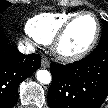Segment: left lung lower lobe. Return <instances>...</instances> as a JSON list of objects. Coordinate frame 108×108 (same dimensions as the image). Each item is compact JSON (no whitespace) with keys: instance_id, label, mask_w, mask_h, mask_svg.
Instances as JSON below:
<instances>
[{"instance_id":"obj_1","label":"left lung lower lobe","mask_w":108,"mask_h":108,"mask_svg":"<svg viewBox=\"0 0 108 108\" xmlns=\"http://www.w3.org/2000/svg\"><path fill=\"white\" fill-rule=\"evenodd\" d=\"M50 68V108H99L108 97V46L98 44L86 58Z\"/></svg>"}]
</instances>
